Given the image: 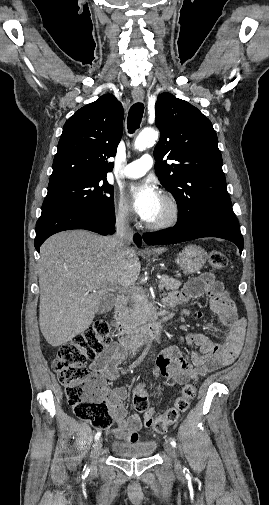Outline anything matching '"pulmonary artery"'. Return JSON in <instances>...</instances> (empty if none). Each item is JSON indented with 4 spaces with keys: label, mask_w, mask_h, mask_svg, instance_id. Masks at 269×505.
Listing matches in <instances>:
<instances>
[{
    "label": "pulmonary artery",
    "mask_w": 269,
    "mask_h": 505,
    "mask_svg": "<svg viewBox=\"0 0 269 505\" xmlns=\"http://www.w3.org/2000/svg\"><path fill=\"white\" fill-rule=\"evenodd\" d=\"M153 166V158L144 154L139 159L127 164L122 175L126 178H138L143 176Z\"/></svg>",
    "instance_id": "pulmonary-artery-1"
}]
</instances>
